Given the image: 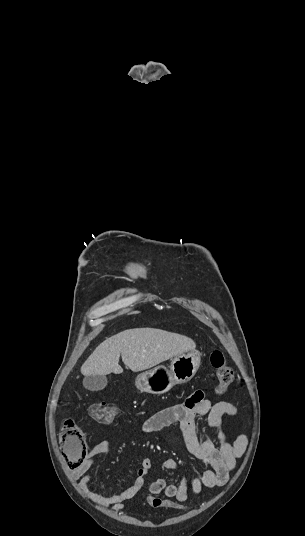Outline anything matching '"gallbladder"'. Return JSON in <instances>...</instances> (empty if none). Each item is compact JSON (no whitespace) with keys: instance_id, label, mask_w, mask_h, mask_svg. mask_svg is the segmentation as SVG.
<instances>
[{"instance_id":"obj_1","label":"gallbladder","mask_w":305,"mask_h":536,"mask_svg":"<svg viewBox=\"0 0 305 536\" xmlns=\"http://www.w3.org/2000/svg\"><path fill=\"white\" fill-rule=\"evenodd\" d=\"M86 390L91 392H98V390H104L108 382L106 376H85L82 382Z\"/></svg>"}]
</instances>
